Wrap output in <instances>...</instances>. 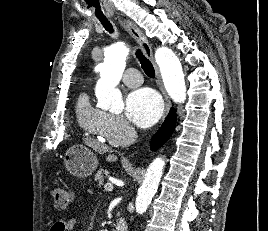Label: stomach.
Segmentation results:
<instances>
[{
	"label": "stomach",
	"instance_id": "stomach-1",
	"mask_svg": "<svg viewBox=\"0 0 268 231\" xmlns=\"http://www.w3.org/2000/svg\"><path fill=\"white\" fill-rule=\"evenodd\" d=\"M66 169L79 178L90 176L97 168L96 155L87 146L77 144L70 147L64 155Z\"/></svg>",
	"mask_w": 268,
	"mask_h": 231
}]
</instances>
